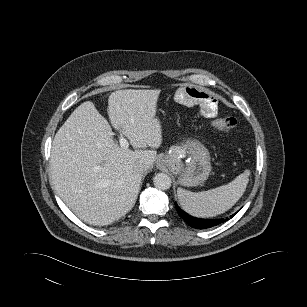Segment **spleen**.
<instances>
[{"instance_id": "3e777b00", "label": "spleen", "mask_w": 307, "mask_h": 307, "mask_svg": "<svg viewBox=\"0 0 307 307\" xmlns=\"http://www.w3.org/2000/svg\"><path fill=\"white\" fill-rule=\"evenodd\" d=\"M250 171L245 170L233 181L215 189L202 192H191L178 188L177 196L181 207L189 214L208 218L220 215L241 198L249 181Z\"/></svg>"}]
</instances>
